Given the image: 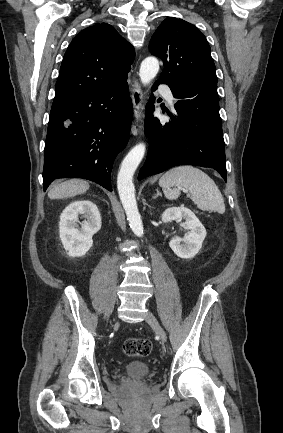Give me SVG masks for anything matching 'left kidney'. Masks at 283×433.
I'll list each match as a JSON object with an SVG mask.
<instances>
[{
	"instance_id": "5707ae66",
	"label": "left kidney",
	"mask_w": 283,
	"mask_h": 433,
	"mask_svg": "<svg viewBox=\"0 0 283 433\" xmlns=\"http://www.w3.org/2000/svg\"><path fill=\"white\" fill-rule=\"evenodd\" d=\"M162 221L168 223L171 221L180 222L185 219L184 228L189 232L183 237H174L170 240L169 246L172 251L180 258L188 259L194 257L202 247L206 237V229L196 217V215L186 207H170L162 214Z\"/></svg>"
}]
</instances>
